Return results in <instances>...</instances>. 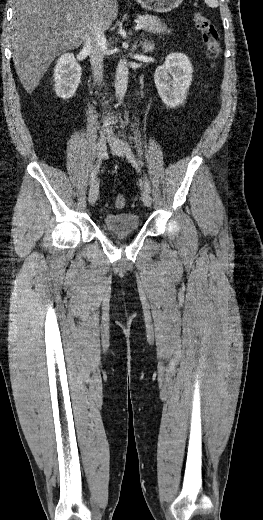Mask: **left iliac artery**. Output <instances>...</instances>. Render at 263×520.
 Here are the masks:
<instances>
[{
	"instance_id": "obj_1",
	"label": "left iliac artery",
	"mask_w": 263,
	"mask_h": 520,
	"mask_svg": "<svg viewBox=\"0 0 263 520\" xmlns=\"http://www.w3.org/2000/svg\"><path fill=\"white\" fill-rule=\"evenodd\" d=\"M124 145H125V150H126V156L128 158V160L132 163L133 167L138 171L140 172V169H139V166H138V163L136 161V158L129 146V144L125 141L124 142ZM143 187L146 191L150 192L151 191V188L149 186V183L147 181H143Z\"/></svg>"
}]
</instances>
